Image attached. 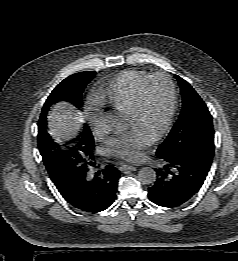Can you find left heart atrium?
Returning a JSON list of instances; mask_svg holds the SVG:
<instances>
[{"label": "left heart atrium", "mask_w": 238, "mask_h": 261, "mask_svg": "<svg viewBox=\"0 0 238 261\" xmlns=\"http://www.w3.org/2000/svg\"><path fill=\"white\" fill-rule=\"evenodd\" d=\"M153 136L139 127H132L111 137L107 141V151L127 161H139L142 158L143 149L154 141Z\"/></svg>", "instance_id": "39dd6f15"}]
</instances>
